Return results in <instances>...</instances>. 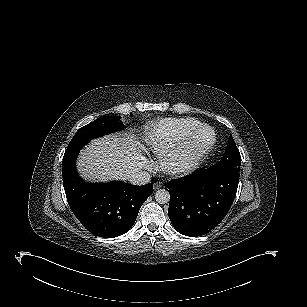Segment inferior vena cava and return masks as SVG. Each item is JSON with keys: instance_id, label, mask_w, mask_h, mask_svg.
I'll list each match as a JSON object with an SVG mask.
<instances>
[{"instance_id": "inferior-vena-cava-1", "label": "inferior vena cava", "mask_w": 307, "mask_h": 307, "mask_svg": "<svg viewBox=\"0 0 307 307\" xmlns=\"http://www.w3.org/2000/svg\"><path fill=\"white\" fill-rule=\"evenodd\" d=\"M150 180L151 175L146 171H136L129 178V182L133 185H145L149 183Z\"/></svg>"}]
</instances>
